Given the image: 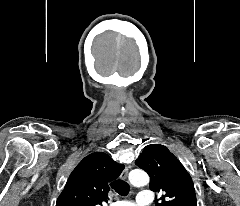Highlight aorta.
<instances>
[{"mask_svg": "<svg viewBox=\"0 0 240 206\" xmlns=\"http://www.w3.org/2000/svg\"><path fill=\"white\" fill-rule=\"evenodd\" d=\"M129 180L134 186H144L149 182V177L142 170H133L129 175Z\"/></svg>", "mask_w": 240, "mask_h": 206, "instance_id": "aorta-1", "label": "aorta"}]
</instances>
